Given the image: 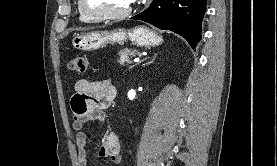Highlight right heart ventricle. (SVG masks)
Segmentation results:
<instances>
[{
	"label": "right heart ventricle",
	"instance_id": "1",
	"mask_svg": "<svg viewBox=\"0 0 277 166\" xmlns=\"http://www.w3.org/2000/svg\"><path fill=\"white\" fill-rule=\"evenodd\" d=\"M80 18H81L83 21H86V22L93 21L92 19H90V18H88L87 16H85L81 11H80Z\"/></svg>",
	"mask_w": 277,
	"mask_h": 166
}]
</instances>
